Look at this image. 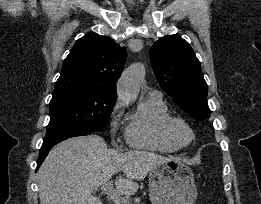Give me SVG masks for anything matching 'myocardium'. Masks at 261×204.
<instances>
[{"label":"myocardium","mask_w":261,"mask_h":204,"mask_svg":"<svg viewBox=\"0 0 261 204\" xmlns=\"http://www.w3.org/2000/svg\"><path fill=\"white\" fill-rule=\"evenodd\" d=\"M180 129H183L188 133L189 138L187 141L180 139ZM165 131L168 137L180 148L190 145L195 139V133L190 124L180 117H171L165 124Z\"/></svg>","instance_id":"myocardium-1"}]
</instances>
